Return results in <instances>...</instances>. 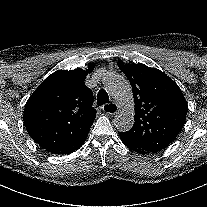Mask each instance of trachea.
I'll use <instances>...</instances> for the list:
<instances>
[{
    "label": "trachea",
    "mask_w": 207,
    "mask_h": 207,
    "mask_svg": "<svg viewBox=\"0 0 207 207\" xmlns=\"http://www.w3.org/2000/svg\"><path fill=\"white\" fill-rule=\"evenodd\" d=\"M109 102V96H108V94H107V92L105 91V90H100L99 92H98V95H97V104L99 105V106H101V105H103V104H106V103H108ZM107 106V105H106ZM105 106V107H106Z\"/></svg>",
    "instance_id": "obj_1"
}]
</instances>
